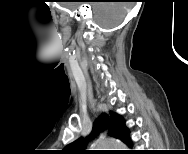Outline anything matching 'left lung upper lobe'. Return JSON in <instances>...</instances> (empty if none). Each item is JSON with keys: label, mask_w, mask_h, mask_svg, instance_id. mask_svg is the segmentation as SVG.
I'll return each instance as SVG.
<instances>
[{"label": "left lung upper lobe", "mask_w": 188, "mask_h": 154, "mask_svg": "<svg viewBox=\"0 0 188 154\" xmlns=\"http://www.w3.org/2000/svg\"><path fill=\"white\" fill-rule=\"evenodd\" d=\"M111 113V121L107 114H103L93 125V131L87 139L79 138L78 140L68 144L64 150L68 154H86L88 151L85 150L87 142L92 139L98 131L109 128L108 135L117 139L123 140L127 127L123 117L117 113Z\"/></svg>", "instance_id": "left-lung-upper-lobe-1"}]
</instances>
